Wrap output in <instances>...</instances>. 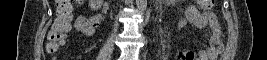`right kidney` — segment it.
<instances>
[{"label": "right kidney", "instance_id": "obj_1", "mask_svg": "<svg viewBox=\"0 0 267 60\" xmlns=\"http://www.w3.org/2000/svg\"><path fill=\"white\" fill-rule=\"evenodd\" d=\"M103 0H89V6L91 10L97 11L101 8Z\"/></svg>", "mask_w": 267, "mask_h": 60}]
</instances>
